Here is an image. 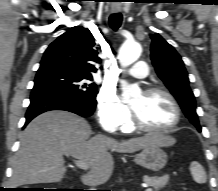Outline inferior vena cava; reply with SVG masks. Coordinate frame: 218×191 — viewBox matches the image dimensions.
<instances>
[{"label":"inferior vena cava","instance_id":"1","mask_svg":"<svg viewBox=\"0 0 218 191\" xmlns=\"http://www.w3.org/2000/svg\"><path fill=\"white\" fill-rule=\"evenodd\" d=\"M96 185H97L96 180L93 179V180L91 181V183H90V186H91V187H95Z\"/></svg>","mask_w":218,"mask_h":191}]
</instances>
